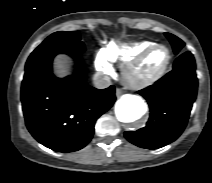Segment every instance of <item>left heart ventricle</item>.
<instances>
[{"instance_id": "left-heart-ventricle-1", "label": "left heart ventricle", "mask_w": 212, "mask_h": 183, "mask_svg": "<svg viewBox=\"0 0 212 183\" xmlns=\"http://www.w3.org/2000/svg\"><path fill=\"white\" fill-rule=\"evenodd\" d=\"M167 59V50L165 48H157L132 72L131 77L134 80L145 79L158 72L165 65Z\"/></svg>"}]
</instances>
